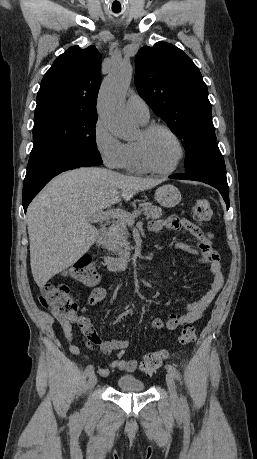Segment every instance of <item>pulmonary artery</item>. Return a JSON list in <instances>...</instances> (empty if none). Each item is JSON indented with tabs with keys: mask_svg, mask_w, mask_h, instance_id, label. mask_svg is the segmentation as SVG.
Listing matches in <instances>:
<instances>
[{
	"mask_svg": "<svg viewBox=\"0 0 257 459\" xmlns=\"http://www.w3.org/2000/svg\"><path fill=\"white\" fill-rule=\"evenodd\" d=\"M127 111L137 120L146 122L149 119V107L137 94H131L126 101Z\"/></svg>",
	"mask_w": 257,
	"mask_h": 459,
	"instance_id": "e3ab8cb5",
	"label": "pulmonary artery"
}]
</instances>
